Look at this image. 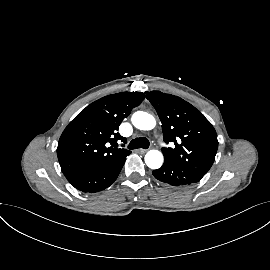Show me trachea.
Segmentation results:
<instances>
[{
  "label": "trachea",
  "mask_w": 270,
  "mask_h": 270,
  "mask_svg": "<svg viewBox=\"0 0 270 270\" xmlns=\"http://www.w3.org/2000/svg\"><path fill=\"white\" fill-rule=\"evenodd\" d=\"M150 143L149 140L145 137H139L133 139L129 145L128 149H137V148H144L147 149L149 147Z\"/></svg>",
  "instance_id": "obj_1"
}]
</instances>
